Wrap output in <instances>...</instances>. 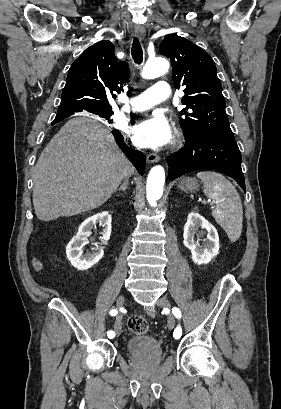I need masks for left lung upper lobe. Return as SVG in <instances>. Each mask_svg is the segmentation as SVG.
Instances as JSON below:
<instances>
[{"label":"left lung upper lobe","mask_w":281,"mask_h":409,"mask_svg":"<svg viewBox=\"0 0 281 409\" xmlns=\"http://www.w3.org/2000/svg\"><path fill=\"white\" fill-rule=\"evenodd\" d=\"M160 53L172 62L175 87H185V95L181 100L186 105L181 111L185 118L180 119V124L186 138L211 134L234 139L225 112L222 86L210 55L191 41L177 35L162 41Z\"/></svg>","instance_id":"left-lung-upper-lobe-1"}]
</instances>
